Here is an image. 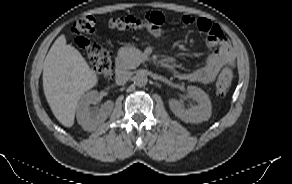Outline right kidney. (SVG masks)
<instances>
[{
  "instance_id": "ca27d5eb",
  "label": "right kidney",
  "mask_w": 292,
  "mask_h": 184,
  "mask_svg": "<svg viewBox=\"0 0 292 184\" xmlns=\"http://www.w3.org/2000/svg\"><path fill=\"white\" fill-rule=\"evenodd\" d=\"M98 99V91L92 90L85 94L77 105V121L85 131L91 132L96 130L112 112L114 106L112 101H107L100 109L90 111V104H95Z\"/></svg>"
}]
</instances>
